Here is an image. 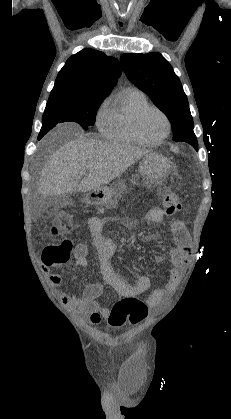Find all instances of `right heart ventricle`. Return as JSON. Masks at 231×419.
I'll return each instance as SVG.
<instances>
[{"mask_svg":"<svg viewBox=\"0 0 231 419\" xmlns=\"http://www.w3.org/2000/svg\"><path fill=\"white\" fill-rule=\"evenodd\" d=\"M149 105L143 92L137 89L125 91L118 105L111 109V124L107 138L120 144H144L134 131V118L137 112Z\"/></svg>","mask_w":231,"mask_h":419,"instance_id":"1","label":"right heart ventricle"}]
</instances>
